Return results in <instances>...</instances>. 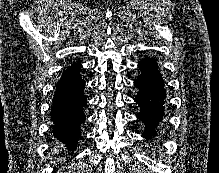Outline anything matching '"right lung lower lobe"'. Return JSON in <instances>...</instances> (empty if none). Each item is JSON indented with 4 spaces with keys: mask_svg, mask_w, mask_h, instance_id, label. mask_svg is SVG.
Here are the masks:
<instances>
[{
    "mask_svg": "<svg viewBox=\"0 0 219 173\" xmlns=\"http://www.w3.org/2000/svg\"><path fill=\"white\" fill-rule=\"evenodd\" d=\"M80 69L81 64L74 63L64 71L56 86L51 108L53 135L64 143L68 150L77 147L81 137L80 125L85 120L83 107L87 101L83 94L85 82L79 74Z\"/></svg>",
    "mask_w": 219,
    "mask_h": 173,
    "instance_id": "obj_1",
    "label": "right lung lower lobe"
}]
</instances>
